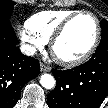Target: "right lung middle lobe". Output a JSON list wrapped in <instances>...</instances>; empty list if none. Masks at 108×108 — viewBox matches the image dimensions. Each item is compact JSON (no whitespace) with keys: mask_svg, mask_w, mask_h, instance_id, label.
Returning a JSON list of instances; mask_svg holds the SVG:
<instances>
[{"mask_svg":"<svg viewBox=\"0 0 108 108\" xmlns=\"http://www.w3.org/2000/svg\"><path fill=\"white\" fill-rule=\"evenodd\" d=\"M14 4L12 0H0V22H10Z\"/></svg>","mask_w":108,"mask_h":108,"instance_id":"dd1d6c3e","label":"right lung middle lobe"}]
</instances>
